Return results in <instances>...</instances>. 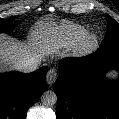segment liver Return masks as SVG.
Here are the masks:
<instances>
[{"label":"liver","mask_w":119,"mask_h":119,"mask_svg":"<svg viewBox=\"0 0 119 119\" xmlns=\"http://www.w3.org/2000/svg\"><path fill=\"white\" fill-rule=\"evenodd\" d=\"M52 41L45 36V30H35L28 42L0 34V71L19 70L18 66L32 58L39 61L52 54Z\"/></svg>","instance_id":"1"}]
</instances>
